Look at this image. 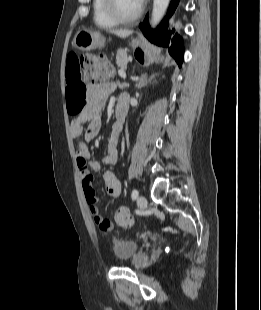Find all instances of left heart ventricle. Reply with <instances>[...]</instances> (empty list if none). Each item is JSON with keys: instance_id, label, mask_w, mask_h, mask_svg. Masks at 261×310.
I'll list each match as a JSON object with an SVG mask.
<instances>
[{"instance_id": "left-heart-ventricle-1", "label": "left heart ventricle", "mask_w": 261, "mask_h": 310, "mask_svg": "<svg viewBox=\"0 0 261 310\" xmlns=\"http://www.w3.org/2000/svg\"><path fill=\"white\" fill-rule=\"evenodd\" d=\"M115 3L118 11L123 16H131L140 8L137 0H115Z\"/></svg>"}]
</instances>
